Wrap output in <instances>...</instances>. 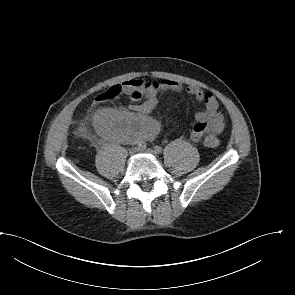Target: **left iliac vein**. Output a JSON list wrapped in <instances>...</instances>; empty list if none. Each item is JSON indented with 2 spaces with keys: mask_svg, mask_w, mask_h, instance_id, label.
I'll use <instances>...</instances> for the list:
<instances>
[{
  "mask_svg": "<svg viewBox=\"0 0 295 295\" xmlns=\"http://www.w3.org/2000/svg\"><path fill=\"white\" fill-rule=\"evenodd\" d=\"M144 151L146 153H148V154H152V155H155L156 154L155 151H154V149H152V148H146V149H144Z\"/></svg>",
  "mask_w": 295,
  "mask_h": 295,
  "instance_id": "1",
  "label": "left iliac vein"
}]
</instances>
